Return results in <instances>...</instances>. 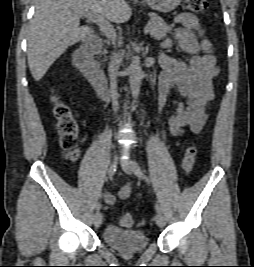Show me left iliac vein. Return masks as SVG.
<instances>
[{
	"label": "left iliac vein",
	"instance_id": "1",
	"mask_svg": "<svg viewBox=\"0 0 254 267\" xmlns=\"http://www.w3.org/2000/svg\"><path fill=\"white\" fill-rule=\"evenodd\" d=\"M122 167H123L124 172L127 174L131 175L134 173V162L128 161L124 163ZM155 222L159 227L165 226V218L160 212L156 213Z\"/></svg>",
	"mask_w": 254,
	"mask_h": 267
}]
</instances>
